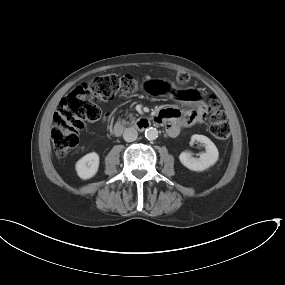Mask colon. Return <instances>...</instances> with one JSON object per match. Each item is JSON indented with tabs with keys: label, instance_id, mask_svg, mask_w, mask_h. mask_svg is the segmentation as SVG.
I'll return each instance as SVG.
<instances>
[{
	"label": "colon",
	"instance_id": "colon-1",
	"mask_svg": "<svg viewBox=\"0 0 285 285\" xmlns=\"http://www.w3.org/2000/svg\"><path fill=\"white\" fill-rule=\"evenodd\" d=\"M189 74L178 72L176 81L186 85ZM137 91L135 78L128 74H106L95 77L87 83L74 87L58 105L53 117L51 138L57 156H65L79 144V133L84 128L85 121H93L99 117L100 111L97 102L113 98L119 93L132 94ZM209 131L218 141H225L230 134L228 118L216 98H211L207 105ZM194 120L193 116H189ZM154 121L163 124L162 116H156Z\"/></svg>",
	"mask_w": 285,
	"mask_h": 285
}]
</instances>
